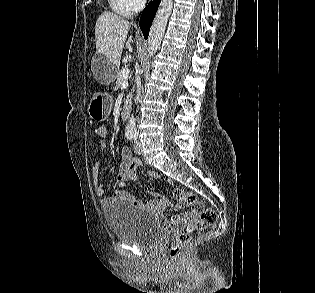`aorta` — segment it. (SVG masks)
Returning a JSON list of instances; mask_svg holds the SVG:
<instances>
[{
    "label": "aorta",
    "mask_w": 315,
    "mask_h": 293,
    "mask_svg": "<svg viewBox=\"0 0 315 293\" xmlns=\"http://www.w3.org/2000/svg\"><path fill=\"white\" fill-rule=\"evenodd\" d=\"M172 8L173 0H162L149 32L148 52L150 57H152L160 47ZM135 121L132 115L127 124V131H134L136 129Z\"/></svg>",
    "instance_id": "1"
}]
</instances>
